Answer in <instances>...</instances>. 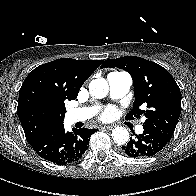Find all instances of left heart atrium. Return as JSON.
<instances>
[{
  "instance_id": "1",
  "label": "left heart atrium",
  "mask_w": 196,
  "mask_h": 196,
  "mask_svg": "<svg viewBox=\"0 0 196 196\" xmlns=\"http://www.w3.org/2000/svg\"><path fill=\"white\" fill-rule=\"evenodd\" d=\"M114 115H115V109L113 107H108L104 110L101 117L103 120H108L112 118Z\"/></svg>"
}]
</instances>
